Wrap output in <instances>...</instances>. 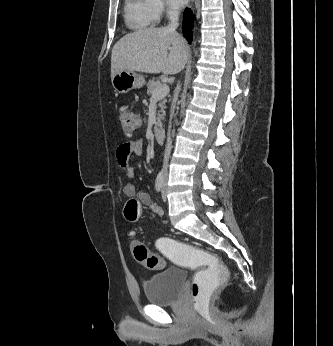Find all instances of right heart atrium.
I'll use <instances>...</instances> for the list:
<instances>
[{"label":"right heart atrium","mask_w":333,"mask_h":346,"mask_svg":"<svg viewBox=\"0 0 333 346\" xmlns=\"http://www.w3.org/2000/svg\"><path fill=\"white\" fill-rule=\"evenodd\" d=\"M150 14L155 22L163 16H173L177 9L172 7L166 0H147Z\"/></svg>","instance_id":"d8ad5b80"}]
</instances>
